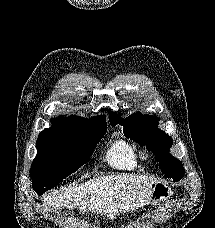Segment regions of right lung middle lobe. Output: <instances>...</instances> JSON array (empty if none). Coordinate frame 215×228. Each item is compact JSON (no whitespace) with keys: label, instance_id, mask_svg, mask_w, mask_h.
Masks as SVG:
<instances>
[{"label":"right lung middle lobe","instance_id":"1","mask_svg":"<svg viewBox=\"0 0 215 228\" xmlns=\"http://www.w3.org/2000/svg\"><path fill=\"white\" fill-rule=\"evenodd\" d=\"M107 131L106 124L64 128L39 134L30 174L41 195L85 164Z\"/></svg>","mask_w":215,"mask_h":228}]
</instances>
